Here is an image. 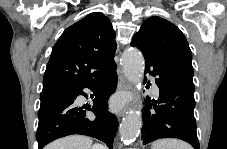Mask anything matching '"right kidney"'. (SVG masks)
Instances as JSON below:
<instances>
[{
    "instance_id": "ca27d5eb",
    "label": "right kidney",
    "mask_w": 227,
    "mask_h": 149,
    "mask_svg": "<svg viewBox=\"0 0 227 149\" xmlns=\"http://www.w3.org/2000/svg\"><path fill=\"white\" fill-rule=\"evenodd\" d=\"M91 149H103V146L101 145H94Z\"/></svg>"
}]
</instances>
